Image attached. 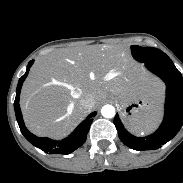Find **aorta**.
<instances>
[{
  "instance_id": "1",
  "label": "aorta",
  "mask_w": 183,
  "mask_h": 183,
  "mask_svg": "<svg viewBox=\"0 0 183 183\" xmlns=\"http://www.w3.org/2000/svg\"><path fill=\"white\" fill-rule=\"evenodd\" d=\"M101 114L105 118H113L115 116V108L112 105H104L101 109Z\"/></svg>"
}]
</instances>
